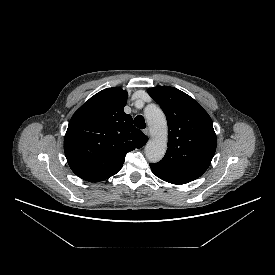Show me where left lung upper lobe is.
<instances>
[{
    "label": "left lung upper lobe",
    "instance_id": "5c2ea615",
    "mask_svg": "<svg viewBox=\"0 0 275 275\" xmlns=\"http://www.w3.org/2000/svg\"><path fill=\"white\" fill-rule=\"evenodd\" d=\"M148 94L161 106L168 124V149L154 165L191 181L209 167L217 139L213 122L203 107L174 87L157 86Z\"/></svg>",
    "mask_w": 275,
    "mask_h": 275
}]
</instances>
